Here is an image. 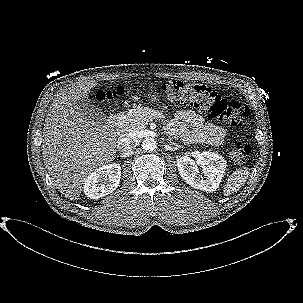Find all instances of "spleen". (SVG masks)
<instances>
[{"label":"spleen","mask_w":303,"mask_h":303,"mask_svg":"<svg viewBox=\"0 0 303 303\" xmlns=\"http://www.w3.org/2000/svg\"><path fill=\"white\" fill-rule=\"evenodd\" d=\"M249 177V169L247 167L237 169L234 171L227 180L225 184L223 193L228 196L236 191H238L247 181Z\"/></svg>","instance_id":"obj_1"}]
</instances>
